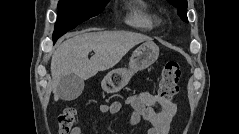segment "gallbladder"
<instances>
[{
    "mask_svg": "<svg viewBox=\"0 0 239 134\" xmlns=\"http://www.w3.org/2000/svg\"><path fill=\"white\" fill-rule=\"evenodd\" d=\"M84 89V80L75 74H68L61 78L56 92L64 101H71L78 98Z\"/></svg>",
    "mask_w": 239,
    "mask_h": 134,
    "instance_id": "bac80fb5",
    "label": "gallbladder"
}]
</instances>
